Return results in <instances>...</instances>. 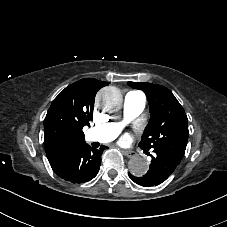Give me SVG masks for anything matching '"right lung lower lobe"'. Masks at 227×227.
Wrapping results in <instances>:
<instances>
[{
    "mask_svg": "<svg viewBox=\"0 0 227 227\" xmlns=\"http://www.w3.org/2000/svg\"><path fill=\"white\" fill-rule=\"evenodd\" d=\"M106 146L99 150L93 149L86 143L70 149L60 161L51 166L53 171L72 183H82L94 178L101 165V155Z\"/></svg>",
    "mask_w": 227,
    "mask_h": 227,
    "instance_id": "obj_1",
    "label": "right lung lower lobe"
}]
</instances>
